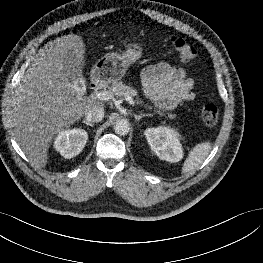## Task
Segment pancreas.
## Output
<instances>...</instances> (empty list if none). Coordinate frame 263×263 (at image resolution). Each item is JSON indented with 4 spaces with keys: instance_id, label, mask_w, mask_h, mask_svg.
<instances>
[{
    "instance_id": "cf45deb5",
    "label": "pancreas",
    "mask_w": 263,
    "mask_h": 263,
    "mask_svg": "<svg viewBox=\"0 0 263 263\" xmlns=\"http://www.w3.org/2000/svg\"><path fill=\"white\" fill-rule=\"evenodd\" d=\"M109 91L113 95L118 96V97H123L126 94L130 95V96H137L138 95L137 91L133 87L126 85L122 81L114 82L112 84V86L109 87ZM170 118H174V116L170 115Z\"/></svg>"
}]
</instances>
